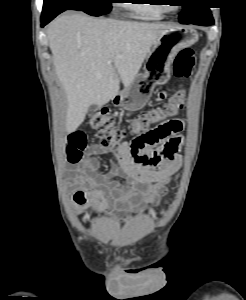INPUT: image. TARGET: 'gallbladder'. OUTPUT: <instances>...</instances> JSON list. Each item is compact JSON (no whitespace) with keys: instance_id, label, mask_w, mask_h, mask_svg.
Listing matches in <instances>:
<instances>
[{"instance_id":"gallbladder-1","label":"gallbladder","mask_w":246,"mask_h":300,"mask_svg":"<svg viewBox=\"0 0 246 300\" xmlns=\"http://www.w3.org/2000/svg\"><path fill=\"white\" fill-rule=\"evenodd\" d=\"M95 108V105L90 106V110H93Z\"/></svg>"}]
</instances>
